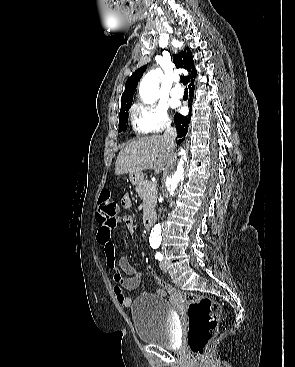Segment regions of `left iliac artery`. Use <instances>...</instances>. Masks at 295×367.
I'll return each instance as SVG.
<instances>
[{
    "instance_id": "obj_1",
    "label": "left iliac artery",
    "mask_w": 295,
    "mask_h": 367,
    "mask_svg": "<svg viewBox=\"0 0 295 367\" xmlns=\"http://www.w3.org/2000/svg\"><path fill=\"white\" fill-rule=\"evenodd\" d=\"M155 248L156 247H154V249ZM155 258L158 259L159 261H162L163 260V254L161 252H156Z\"/></svg>"
}]
</instances>
